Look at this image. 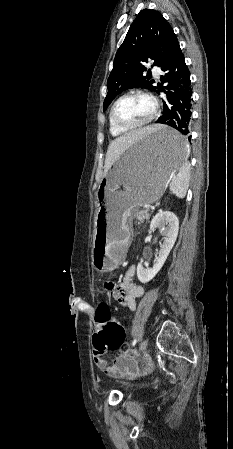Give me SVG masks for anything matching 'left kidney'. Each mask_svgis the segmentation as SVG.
Listing matches in <instances>:
<instances>
[{
  "label": "left kidney",
  "instance_id": "1",
  "mask_svg": "<svg viewBox=\"0 0 233 449\" xmlns=\"http://www.w3.org/2000/svg\"><path fill=\"white\" fill-rule=\"evenodd\" d=\"M161 229L163 243L159 255L155 260L153 268H145L141 263L137 266V277L141 283L151 281L163 267L171 249L173 248L179 230V221L177 216L170 211H161L155 215L150 224V229Z\"/></svg>",
  "mask_w": 233,
  "mask_h": 449
}]
</instances>
